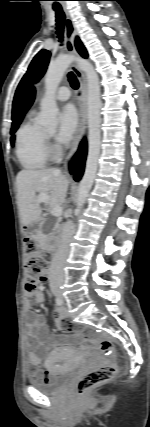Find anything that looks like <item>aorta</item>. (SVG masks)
I'll return each instance as SVG.
<instances>
[{
	"label": "aorta",
	"mask_w": 150,
	"mask_h": 427,
	"mask_svg": "<svg viewBox=\"0 0 150 427\" xmlns=\"http://www.w3.org/2000/svg\"><path fill=\"white\" fill-rule=\"evenodd\" d=\"M73 61L77 63L87 78L88 155L85 172L78 188L77 210L79 211L85 204L96 177L101 148L100 83L98 74L88 60L81 57L61 55L49 65L45 75V95L41 101V113L38 122L50 130L57 127L58 107L55 94L66 70Z\"/></svg>",
	"instance_id": "762f6f07"
}]
</instances>
